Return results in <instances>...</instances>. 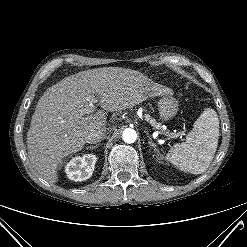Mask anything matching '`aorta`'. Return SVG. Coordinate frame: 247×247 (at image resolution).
Here are the masks:
<instances>
[{
	"label": "aorta",
	"mask_w": 247,
	"mask_h": 247,
	"mask_svg": "<svg viewBox=\"0 0 247 247\" xmlns=\"http://www.w3.org/2000/svg\"><path fill=\"white\" fill-rule=\"evenodd\" d=\"M122 139L126 143H134L137 139V133L134 129H125L122 134Z\"/></svg>",
	"instance_id": "aorta-1"
}]
</instances>
